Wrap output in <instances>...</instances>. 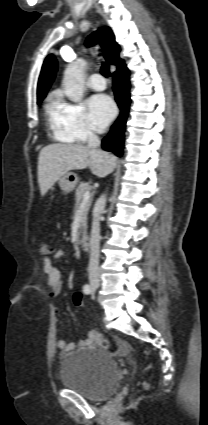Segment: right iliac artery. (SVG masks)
I'll list each match as a JSON object with an SVG mask.
<instances>
[{
  "mask_svg": "<svg viewBox=\"0 0 208 425\" xmlns=\"http://www.w3.org/2000/svg\"><path fill=\"white\" fill-rule=\"evenodd\" d=\"M83 292L87 295L91 293V288L88 284L84 285Z\"/></svg>",
  "mask_w": 208,
  "mask_h": 425,
  "instance_id": "obj_1",
  "label": "right iliac artery"
}]
</instances>
